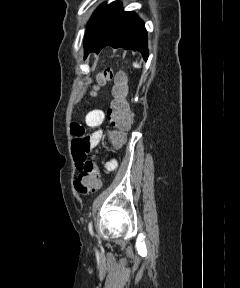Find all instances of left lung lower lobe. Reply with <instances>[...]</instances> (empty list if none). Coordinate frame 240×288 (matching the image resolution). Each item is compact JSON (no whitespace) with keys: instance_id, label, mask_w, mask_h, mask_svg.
Masks as SVG:
<instances>
[{"instance_id":"obj_1","label":"left lung lower lobe","mask_w":240,"mask_h":288,"mask_svg":"<svg viewBox=\"0 0 240 288\" xmlns=\"http://www.w3.org/2000/svg\"><path fill=\"white\" fill-rule=\"evenodd\" d=\"M106 45L114 48L138 50L148 58L147 32L144 23L134 12L123 11L120 2H113L106 9L96 28L85 42V58Z\"/></svg>"}]
</instances>
